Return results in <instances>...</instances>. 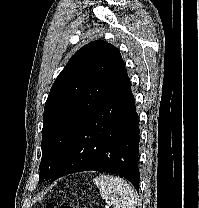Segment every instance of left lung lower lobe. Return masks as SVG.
<instances>
[{
  "label": "left lung lower lobe",
  "mask_w": 199,
  "mask_h": 208,
  "mask_svg": "<svg viewBox=\"0 0 199 208\" xmlns=\"http://www.w3.org/2000/svg\"><path fill=\"white\" fill-rule=\"evenodd\" d=\"M139 132L127 76L76 131L50 182L70 173L93 170L123 176L139 191Z\"/></svg>",
  "instance_id": "left-lung-lower-lobe-1"
}]
</instances>
